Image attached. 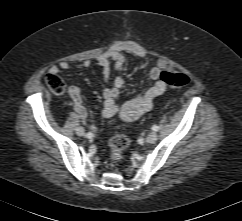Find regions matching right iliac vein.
I'll use <instances>...</instances> for the list:
<instances>
[{
    "label": "right iliac vein",
    "instance_id": "right-iliac-vein-1",
    "mask_svg": "<svg viewBox=\"0 0 242 221\" xmlns=\"http://www.w3.org/2000/svg\"><path fill=\"white\" fill-rule=\"evenodd\" d=\"M76 133H77V135H79V136H84V134H85L84 129H83L82 127H78V128L76 129Z\"/></svg>",
    "mask_w": 242,
    "mask_h": 221
}]
</instances>
